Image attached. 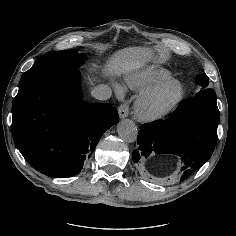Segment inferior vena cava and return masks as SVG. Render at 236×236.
<instances>
[{
    "label": "inferior vena cava",
    "mask_w": 236,
    "mask_h": 236,
    "mask_svg": "<svg viewBox=\"0 0 236 236\" xmlns=\"http://www.w3.org/2000/svg\"><path fill=\"white\" fill-rule=\"evenodd\" d=\"M91 95L98 100H108L112 95V90L108 85L100 84L94 87Z\"/></svg>",
    "instance_id": "obj_1"
}]
</instances>
